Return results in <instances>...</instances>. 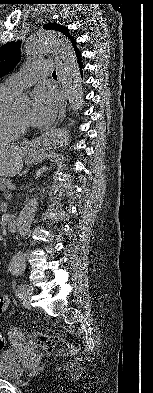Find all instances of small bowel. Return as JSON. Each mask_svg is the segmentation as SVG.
<instances>
[{
    "label": "small bowel",
    "instance_id": "1",
    "mask_svg": "<svg viewBox=\"0 0 153 393\" xmlns=\"http://www.w3.org/2000/svg\"><path fill=\"white\" fill-rule=\"evenodd\" d=\"M0 302H2L4 304V308H0V317L2 316V314L7 310V308L10 306V297L8 295H4L0 298ZM18 332V331H16ZM19 338H22L21 333L18 332Z\"/></svg>",
    "mask_w": 153,
    "mask_h": 393
}]
</instances>
